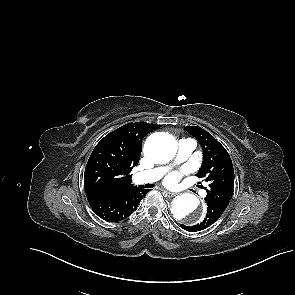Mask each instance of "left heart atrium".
Listing matches in <instances>:
<instances>
[{"instance_id":"left-heart-atrium-1","label":"left heart atrium","mask_w":295,"mask_h":295,"mask_svg":"<svg viewBox=\"0 0 295 295\" xmlns=\"http://www.w3.org/2000/svg\"><path fill=\"white\" fill-rule=\"evenodd\" d=\"M182 175L183 171L172 172L166 176V178L164 179V183L170 187L176 186L179 180L181 179Z\"/></svg>"}]
</instances>
